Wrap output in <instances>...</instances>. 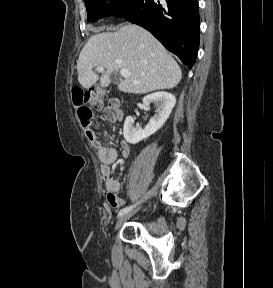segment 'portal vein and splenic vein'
Returning <instances> with one entry per match:
<instances>
[{
  "label": "portal vein and splenic vein",
  "mask_w": 273,
  "mask_h": 288,
  "mask_svg": "<svg viewBox=\"0 0 273 288\" xmlns=\"http://www.w3.org/2000/svg\"><path fill=\"white\" fill-rule=\"evenodd\" d=\"M97 69L100 71V72H103L104 71V68L102 66H98ZM120 75L124 78H128L130 77L131 73L128 69L126 68H122L120 70Z\"/></svg>",
  "instance_id": "portal-vein-and-splenic-vein-1"
}]
</instances>
